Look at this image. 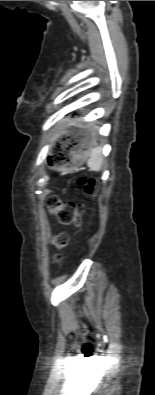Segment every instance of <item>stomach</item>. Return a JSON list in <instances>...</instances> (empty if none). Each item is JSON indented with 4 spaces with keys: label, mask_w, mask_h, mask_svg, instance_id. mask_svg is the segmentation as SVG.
Wrapping results in <instances>:
<instances>
[{
    "label": "stomach",
    "mask_w": 155,
    "mask_h": 395,
    "mask_svg": "<svg viewBox=\"0 0 155 395\" xmlns=\"http://www.w3.org/2000/svg\"><path fill=\"white\" fill-rule=\"evenodd\" d=\"M75 142L76 145L69 150L70 163L65 167L72 168L75 165L83 164L94 146L93 138L88 132H82L76 136Z\"/></svg>",
    "instance_id": "0dacf381"
}]
</instances>
